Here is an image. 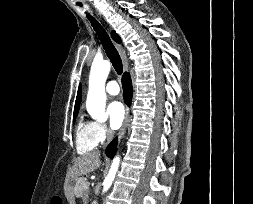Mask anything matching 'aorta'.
<instances>
[{"mask_svg": "<svg viewBox=\"0 0 253 204\" xmlns=\"http://www.w3.org/2000/svg\"><path fill=\"white\" fill-rule=\"evenodd\" d=\"M109 72L110 63L108 61L94 62L91 66L86 107L90 116L100 122L107 120V115L105 114V82ZM119 164L120 158L115 157L103 182V192L107 191L112 185Z\"/></svg>", "mask_w": 253, "mask_h": 204, "instance_id": "obj_1", "label": "aorta"}]
</instances>
